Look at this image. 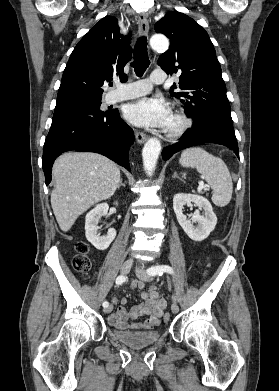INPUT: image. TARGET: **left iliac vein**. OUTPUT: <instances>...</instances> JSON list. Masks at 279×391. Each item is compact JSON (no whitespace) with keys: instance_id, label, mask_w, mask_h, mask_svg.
<instances>
[{"instance_id":"obj_1","label":"left iliac vein","mask_w":279,"mask_h":391,"mask_svg":"<svg viewBox=\"0 0 279 391\" xmlns=\"http://www.w3.org/2000/svg\"><path fill=\"white\" fill-rule=\"evenodd\" d=\"M135 273L137 275V277L139 279H141L142 281H145V282H149L152 280V277H150L142 268L140 267H136L135 268ZM171 311L172 313L176 314L178 313L179 311V307L177 305V303H173L172 306H171Z\"/></svg>"}]
</instances>
